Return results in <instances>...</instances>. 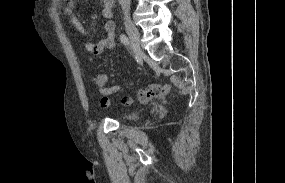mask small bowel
<instances>
[{
  "instance_id": "1",
  "label": "small bowel",
  "mask_w": 285,
  "mask_h": 183,
  "mask_svg": "<svg viewBox=\"0 0 285 183\" xmlns=\"http://www.w3.org/2000/svg\"><path fill=\"white\" fill-rule=\"evenodd\" d=\"M102 3V16L106 20L104 24L105 37L98 42H88L85 45V51L88 57L91 59L94 56L100 55L104 50H112L115 48V23L112 20L114 4L113 0H101ZM63 12L70 17L72 26L81 34L87 35L89 31L83 26V24L78 20L73 11V4L68 2L63 8ZM107 75L103 72L94 73L91 76L93 84L98 88L101 95L100 105L102 107H107L110 105V96L117 93L120 89L118 85H113L110 87L105 86L107 82ZM171 86L169 84L164 85H150L145 89H140L138 92V97L140 101H148L156 97H164L170 92ZM129 97V96H126ZM125 105H130L126 104ZM131 98V97H129ZM132 99V98H131Z\"/></svg>"
}]
</instances>
